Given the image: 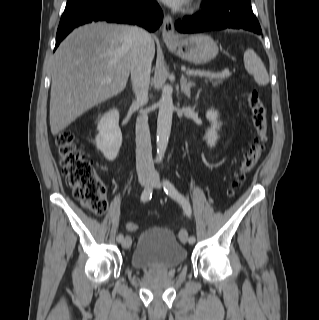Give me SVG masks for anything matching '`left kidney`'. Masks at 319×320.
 <instances>
[{
    "instance_id": "1",
    "label": "left kidney",
    "mask_w": 319,
    "mask_h": 320,
    "mask_svg": "<svg viewBox=\"0 0 319 320\" xmlns=\"http://www.w3.org/2000/svg\"><path fill=\"white\" fill-rule=\"evenodd\" d=\"M218 116V112L214 109H210L206 112V118L209 120L211 126L205 134V140L210 147L215 146L218 139L217 131L221 126V123L218 122Z\"/></svg>"
}]
</instances>
